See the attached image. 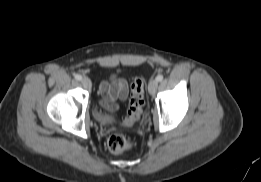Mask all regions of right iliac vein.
I'll use <instances>...</instances> for the list:
<instances>
[{
  "label": "right iliac vein",
  "mask_w": 261,
  "mask_h": 182,
  "mask_svg": "<svg viewBox=\"0 0 261 182\" xmlns=\"http://www.w3.org/2000/svg\"><path fill=\"white\" fill-rule=\"evenodd\" d=\"M81 84H82L83 87L86 88V89H91V87H92V83H91L90 79L87 78V77H84V78L81 80Z\"/></svg>",
  "instance_id": "1"
}]
</instances>
